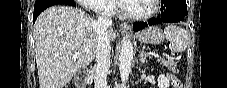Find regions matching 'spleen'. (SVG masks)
<instances>
[{
    "mask_svg": "<svg viewBox=\"0 0 227 88\" xmlns=\"http://www.w3.org/2000/svg\"><path fill=\"white\" fill-rule=\"evenodd\" d=\"M164 34L174 52L186 50L189 42V33L186 29L171 24L165 27Z\"/></svg>",
    "mask_w": 227,
    "mask_h": 88,
    "instance_id": "1",
    "label": "spleen"
}]
</instances>
